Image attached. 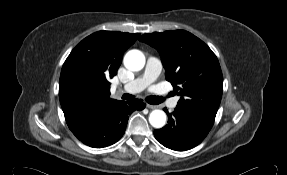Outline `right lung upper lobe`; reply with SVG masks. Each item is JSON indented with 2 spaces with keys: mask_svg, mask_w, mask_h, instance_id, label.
<instances>
[{
  "mask_svg": "<svg viewBox=\"0 0 287 175\" xmlns=\"http://www.w3.org/2000/svg\"><path fill=\"white\" fill-rule=\"evenodd\" d=\"M140 36L99 31L83 39L63 64L59 99L69 128L93 118L117 100L109 80L117 74L123 53Z\"/></svg>",
  "mask_w": 287,
  "mask_h": 175,
  "instance_id": "right-lung-upper-lobe-1",
  "label": "right lung upper lobe"
}]
</instances>
